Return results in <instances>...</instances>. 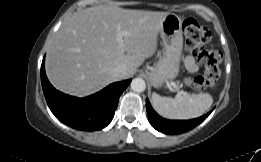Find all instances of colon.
Listing matches in <instances>:
<instances>
[{"instance_id":"5ec220e1","label":"colon","mask_w":261,"mask_h":162,"mask_svg":"<svg viewBox=\"0 0 261 162\" xmlns=\"http://www.w3.org/2000/svg\"><path fill=\"white\" fill-rule=\"evenodd\" d=\"M183 31L187 49L196 57L203 68L202 75L186 79L185 83L197 89L214 86L221 76L219 64L222 56L218 51L207 49L211 39L210 30L200 25L196 20L188 18L183 23Z\"/></svg>"}]
</instances>
